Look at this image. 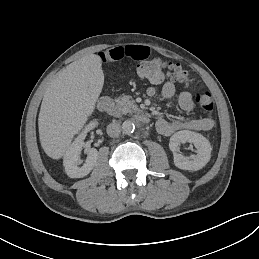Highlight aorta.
Wrapping results in <instances>:
<instances>
[{
	"instance_id": "aorta-1",
	"label": "aorta",
	"mask_w": 259,
	"mask_h": 259,
	"mask_svg": "<svg viewBox=\"0 0 259 259\" xmlns=\"http://www.w3.org/2000/svg\"><path fill=\"white\" fill-rule=\"evenodd\" d=\"M135 130V125L132 121H124L123 124H122V131L123 133L125 134H131L133 133Z\"/></svg>"
}]
</instances>
